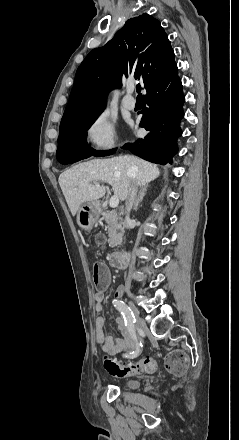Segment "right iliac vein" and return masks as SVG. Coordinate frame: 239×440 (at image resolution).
Listing matches in <instances>:
<instances>
[{
	"instance_id": "63e3f726",
	"label": "right iliac vein",
	"mask_w": 239,
	"mask_h": 440,
	"mask_svg": "<svg viewBox=\"0 0 239 440\" xmlns=\"http://www.w3.org/2000/svg\"><path fill=\"white\" fill-rule=\"evenodd\" d=\"M133 309H134V307H133ZM136 319H137V326L140 329H144L145 328V322L143 321V319L140 318L138 315H136Z\"/></svg>"
}]
</instances>
